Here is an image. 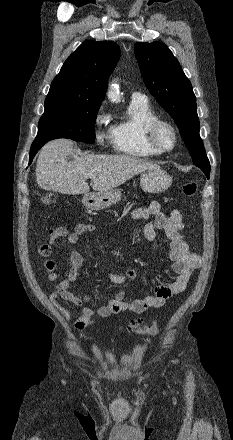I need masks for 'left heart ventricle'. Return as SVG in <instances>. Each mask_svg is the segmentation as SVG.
<instances>
[{
    "label": "left heart ventricle",
    "mask_w": 233,
    "mask_h": 440,
    "mask_svg": "<svg viewBox=\"0 0 233 440\" xmlns=\"http://www.w3.org/2000/svg\"><path fill=\"white\" fill-rule=\"evenodd\" d=\"M157 140L161 146L169 148L173 144V135L167 127H162L158 131Z\"/></svg>",
    "instance_id": "left-heart-ventricle-1"
}]
</instances>
